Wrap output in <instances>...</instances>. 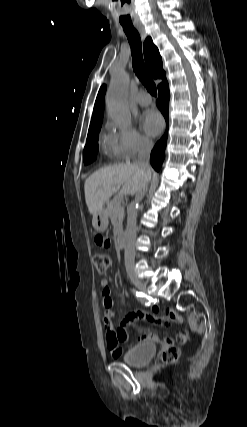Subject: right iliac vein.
<instances>
[{
    "mask_svg": "<svg viewBox=\"0 0 247 427\" xmlns=\"http://www.w3.org/2000/svg\"><path fill=\"white\" fill-rule=\"evenodd\" d=\"M131 281L142 293L147 294V288L143 282L134 276L131 277Z\"/></svg>",
    "mask_w": 247,
    "mask_h": 427,
    "instance_id": "63e3f726",
    "label": "right iliac vein"
}]
</instances>
